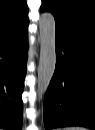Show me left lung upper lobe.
<instances>
[{
	"instance_id": "obj_1",
	"label": "left lung upper lobe",
	"mask_w": 95,
	"mask_h": 130,
	"mask_svg": "<svg viewBox=\"0 0 95 130\" xmlns=\"http://www.w3.org/2000/svg\"><path fill=\"white\" fill-rule=\"evenodd\" d=\"M41 11L54 15L56 29L69 28L95 39L94 0H42Z\"/></svg>"
}]
</instances>
